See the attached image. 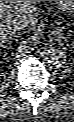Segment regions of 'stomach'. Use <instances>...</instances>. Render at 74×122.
<instances>
[{
    "instance_id": "stomach-1",
    "label": "stomach",
    "mask_w": 74,
    "mask_h": 122,
    "mask_svg": "<svg viewBox=\"0 0 74 122\" xmlns=\"http://www.w3.org/2000/svg\"><path fill=\"white\" fill-rule=\"evenodd\" d=\"M55 3L63 11H71L74 7V1H55Z\"/></svg>"
}]
</instances>
